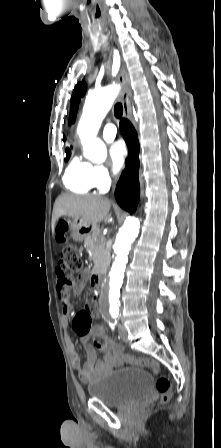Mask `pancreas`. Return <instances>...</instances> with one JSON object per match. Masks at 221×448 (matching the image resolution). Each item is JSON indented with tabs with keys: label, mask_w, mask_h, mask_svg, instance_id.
Listing matches in <instances>:
<instances>
[{
	"label": "pancreas",
	"mask_w": 221,
	"mask_h": 448,
	"mask_svg": "<svg viewBox=\"0 0 221 448\" xmlns=\"http://www.w3.org/2000/svg\"><path fill=\"white\" fill-rule=\"evenodd\" d=\"M105 239L98 231H94L90 236L85 238V247L91 254V259L94 263V269L102 272L109 266V253L105 249Z\"/></svg>",
	"instance_id": "cf45deb5"
}]
</instances>
